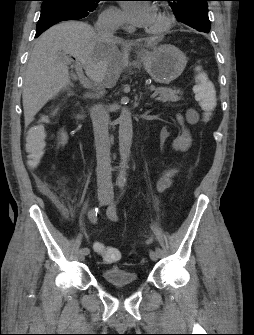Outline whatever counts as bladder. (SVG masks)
<instances>
[{
	"label": "bladder",
	"instance_id": "obj_1",
	"mask_svg": "<svg viewBox=\"0 0 254 335\" xmlns=\"http://www.w3.org/2000/svg\"><path fill=\"white\" fill-rule=\"evenodd\" d=\"M104 281L112 288L133 286L137 282L136 273L121 267L107 268L102 272Z\"/></svg>",
	"mask_w": 254,
	"mask_h": 335
}]
</instances>
